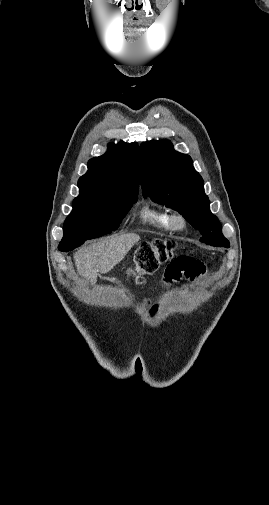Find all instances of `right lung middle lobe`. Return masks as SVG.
I'll use <instances>...</instances> for the list:
<instances>
[{
    "label": "right lung middle lobe",
    "instance_id": "1",
    "mask_svg": "<svg viewBox=\"0 0 269 505\" xmlns=\"http://www.w3.org/2000/svg\"><path fill=\"white\" fill-rule=\"evenodd\" d=\"M136 201L134 195L76 197L73 210L64 222V235L58 250H73L88 239L116 230Z\"/></svg>",
    "mask_w": 269,
    "mask_h": 505
}]
</instances>
